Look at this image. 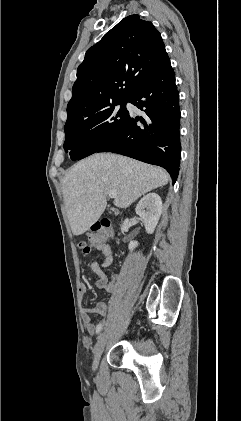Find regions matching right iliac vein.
I'll return each mask as SVG.
<instances>
[{
    "mask_svg": "<svg viewBox=\"0 0 241 421\" xmlns=\"http://www.w3.org/2000/svg\"><path fill=\"white\" fill-rule=\"evenodd\" d=\"M107 338H108V335L104 331L99 335L98 340L95 344V347H94V350H93L94 355H93V364H92V367H93L94 370L97 369V367H98V363H99L100 357H101V355L104 351V348H105V345H106V342H107Z\"/></svg>",
    "mask_w": 241,
    "mask_h": 421,
    "instance_id": "obj_1",
    "label": "right iliac vein"
}]
</instances>
